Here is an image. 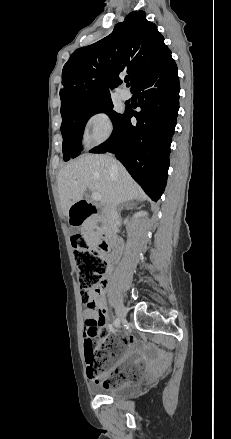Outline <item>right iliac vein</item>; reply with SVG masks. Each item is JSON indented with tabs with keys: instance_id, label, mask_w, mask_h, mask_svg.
Listing matches in <instances>:
<instances>
[{
	"instance_id": "63e3f726",
	"label": "right iliac vein",
	"mask_w": 231,
	"mask_h": 439,
	"mask_svg": "<svg viewBox=\"0 0 231 439\" xmlns=\"http://www.w3.org/2000/svg\"><path fill=\"white\" fill-rule=\"evenodd\" d=\"M117 311H118V320L124 322L125 321L124 308L121 305H118Z\"/></svg>"
}]
</instances>
